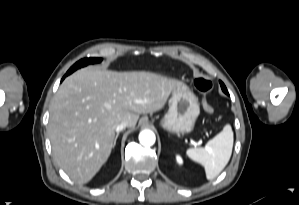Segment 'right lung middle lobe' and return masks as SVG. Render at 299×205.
I'll use <instances>...</instances> for the list:
<instances>
[{"instance_id": "1", "label": "right lung middle lobe", "mask_w": 299, "mask_h": 205, "mask_svg": "<svg viewBox=\"0 0 299 205\" xmlns=\"http://www.w3.org/2000/svg\"><path fill=\"white\" fill-rule=\"evenodd\" d=\"M102 59L101 58H85L82 59L80 61H78L77 63H75L70 69L69 71L66 73V75H69L70 73H72L73 71L77 70L78 68L84 67L90 63H98L101 62Z\"/></svg>"}]
</instances>
